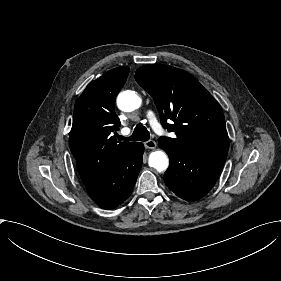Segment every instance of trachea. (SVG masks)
<instances>
[{"mask_svg":"<svg viewBox=\"0 0 281 281\" xmlns=\"http://www.w3.org/2000/svg\"><path fill=\"white\" fill-rule=\"evenodd\" d=\"M150 138L149 131L143 125H137L129 137L118 136L119 140H126V141H148Z\"/></svg>","mask_w":281,"mask_h":281,"instance_id":"trachea-1","label":"trachea"}]
</instances>
